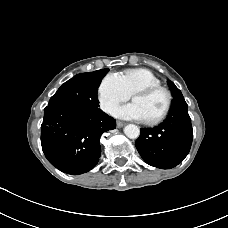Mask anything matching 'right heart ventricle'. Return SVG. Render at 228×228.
Wrapping results in <instances>:
<instances>
[{"mask_svg":"<svg viewBox=\"0 0 228 228\" xmlns=\"http://www.w3.org/2000/svg\"><path fill=\"white\" fill-rule=\"evenodd\" d=\"M118 75L129 95L142 87L160 85V80L150 70L144 68L127 69Z\"/></svg>","mask_w":228,"mask_h":228,"instance_id":"1","label":"right heart ventricle"}]
</instances>
